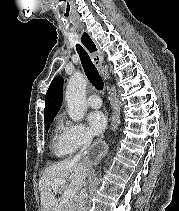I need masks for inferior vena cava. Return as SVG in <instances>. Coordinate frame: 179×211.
<instances>
[{"label": "inferior vena cava", "mask_w": 179, "mask_h": 211, "mask_svg": "<svg viewBox=\"0 0 179 211\" xmlns=\"http://www.w3.org/2000/svg\"><path fill=\"white\" fill-rule=\"evenodd\" d=\"M91 140H92V137L91 136H88L86 138L85 144H84L81 152L76 155L75 159H80L81 158V155H82L83 150H85L87 148V146H89ZM85 197H86V190L83 189L82 192H81L80 200H79V208H78V211H86V208H85Z\"/></svg>", "instance_id": "inferior-vena-cava-1"}]
</instances>
